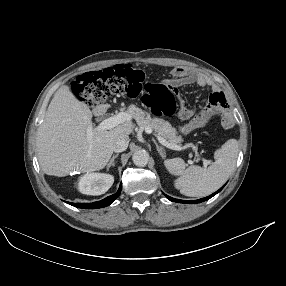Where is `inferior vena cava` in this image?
Instances as JSON below:
<instances>
[{"instance_id":"602c4592","label":"inferior vena cava","mask_w":286,"mask_h":286,"mask_svg":"<svg viewBox=\"0 0 286 286\" xmlns=\"http://www.w3.org/2000/svg\"><path fill=\"white\" fill-rule=\"evenodd\" d=\"M129 144V137L126 135H121L116 138L113 144V151L114 152H122L125 151Z\"/></svg>"}]
</instances>
